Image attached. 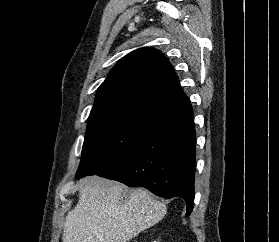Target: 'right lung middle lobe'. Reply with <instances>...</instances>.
Returning a JSON list of instances; mask_svg holds the SVG:
<instances>
[{"mask_svg":"<svg viewBox=\"0 0 279 242\" xmlns=\"http://www.w3.org/2000/svg\"><path fill=\"white\" fill-rule=\"evenodd\" d=\"M159 120L160 115L142 111L90 115L76 178L103 171L149 137Z\"/></svg>","mask_w":279,"mask_h":242,"instance_id":"right-lung-middle-lobe-1","label":"right lung middle lobe"}]
</instances>
